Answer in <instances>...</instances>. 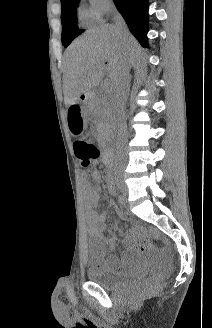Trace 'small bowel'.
<instances>
[{
	"label": "small bowel",
	"mask_w": 212,
	"mask_h": 328,
	"mask_svg": "<svg viewBox=\"0 0 212 328\" xmlns=\"http://www.w3.org/2000/svg\"><path fill=\"white\" fill-rule=\"evenodd\" d=\"M91 181L88 175L81 174L82 191L84 196L85 220L88 227V234L91 239L92 252L95 258L103 257L106 246H112L115 242L113 235L107 237L104 235L106 229V213L96 211L99 204V184L102 181L101 173L93 170L90 173ZM149 232L141 226L135 225L125 235V251L118 257L109 256L104 262L106 266L115 272L123 271L129 267L136 251L147 252L152 249L149 243Z\"/></svg>",
	"instance_id": "c3829d8e"
}]
</instances>
